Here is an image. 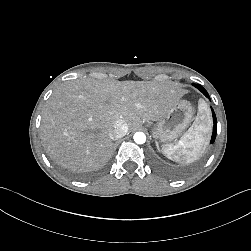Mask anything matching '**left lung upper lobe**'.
I'll list each match as a JSON object with an SVG mask.
<instances>
[{
    "label": "left lung upper lobe",
    "mask_w": 251,
    "mask_h": 251,
    "mask_svg": "<svg viewBox=\"0 0 251 251\" xmlns=\"http://www.w3.org/2000/svg\"><path fill=\"white\" fill-rule=\"evenodd\" d=\"M196 88H197L200 92H202V94H203L206 98L209 99V95H208V93L206 92L205 89H203V88H202L201 86H199V85H196Z\"/></svg>",
    "instance_id": "obj_1"
}]
</instances>
